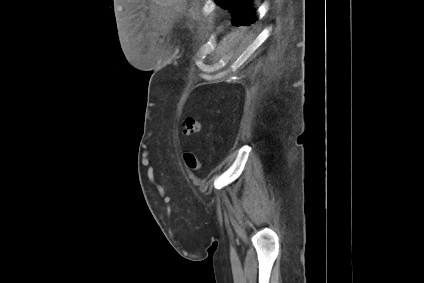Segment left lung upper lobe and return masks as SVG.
<instances>
[{
	"label": "left lung upper lobe",
	"instance_id": "obj_1",
	"mask_svg": "<svg viewBox=\"0 0 424 283\" xmlns=\"http://www.w3.org/2000/svg\"><path fill=\"white\" fill-rule=\"evenodd\" d=\"M215 2L231 12L234 26H249L256 20L252 0H215Z\"/></svg>",
	"mask_w": 424,
	"mask_h": 283
}]
</instances>
